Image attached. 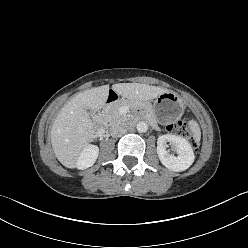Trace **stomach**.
I'll return each mask as SVG.
<instances>
[{
	"label": "stomach",
	"instance_id": "obj_1",
	"mask_svg": "<svg viewBox=\"0 0 248 248\" xmlns=\"http://www.w3.org/2000/svg\"><path fill=\"white\" fill-rule=\"evenodd\" d=\"M184 111L182 99L173 92H165L155 98L147 112L153 113L161 123L176 121Z\"/></svg>",
	"mask_w": 248,
	"mask_h": 248
}]
</instances>
